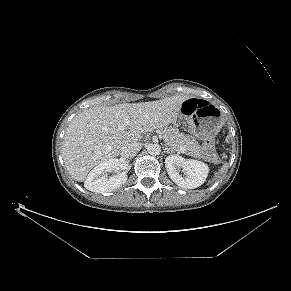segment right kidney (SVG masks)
<instances>
[{
    "mask_svg": "<svg viewBox=\"0 0 291 291\" xmlns=\"http://www.w3.org/2000/svg\"><path fill=\"white\" fill-rule=\"evenodd\" d=\"M118 169V159H110L97 165L88 174L84 182L85 188L96 193L111 192L119 188L126 183L127 175L118 173L112 177L107 176V172H116Z\"/></svg>",
    "mask_w": 291,
    "mask_h": 291,
    "instance_id": "right-kidney-1",
    "label": "right kidney"
}]
</instances>
